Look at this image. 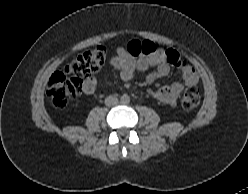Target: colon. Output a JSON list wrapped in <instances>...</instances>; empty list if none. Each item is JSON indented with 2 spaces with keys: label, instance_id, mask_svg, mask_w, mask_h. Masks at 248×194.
Listing matches in <instances>:
<instances>
[{
  "label": "colon",
  "instance_id": "obj_1",
  "mask_svg": "<svg viewBox=\"0 0 248 194\" xmlns=\"http://www.w3.org/2000/svg\"><path fill=\"white\" fill-rule=\"evenodd\" d=\"M133 56L154 54L158 50L150 41H131L127 46ZM166 61L178 66L181 57L173 50L165 51ZM106 62V49L97 46L77 57L62 69L56 71L50 78L47 94L53 104L62 108L74 99L82 90L83 80L97 73ZM200 93L196 87L187 88L181 96V106L190 111L198 106Z\"/></svg>",
  "mask_w": 248,
  "mask_h": 194
}]
</instances>
